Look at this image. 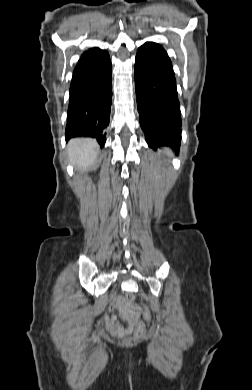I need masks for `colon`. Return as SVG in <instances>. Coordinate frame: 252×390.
Here are the masks:
<instances>
[{
  "label": "colon",
  "instance_id": "1",
  "mask_svg": "<svg viewBox=\"0 0 252 390\" xmlns=\"http://www.w3.org/2000/svg\"><path fill=\"white\" fill-rule=\"evenodd\" d=\"M125 300H126V304H127L128 308L131 311L139 312V308L137 306H135L134 303H133V301H134L133 294L128 293L125 296ZM144 336H145L144 323H143V321L139 320L137 322V324H136V328H135V332H134V334L132 336V340L137 341V340L142 339Z\"/></svg>",
  "mask_w": 252,
  "mask_h": 390
}]
</instances>
